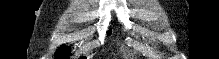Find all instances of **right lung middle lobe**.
<instances>
[{
	"label": "right lung middle lobe",
	"instance_id": "obj_1",
	"mask_svg": "<svg viewBox=\"0 0 219 59\" xmlns=\"http://www.w3.org/2000/svg\"><path fill=\"white\" fill-rule=\"evenodd\" d=\"M110 33H111V30L108 31V34H110ZM69 55H70V54H69V48L63 46V47H61V48L57 51V53H56L55 56H56V58H58V59H65V58H67ZM81 59H85V58L82 57Z\"/></svg>",
	"mask_w": 219,
	"mask_h": 59
}]
</instances>
